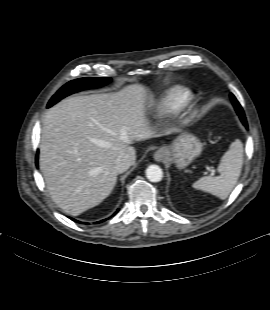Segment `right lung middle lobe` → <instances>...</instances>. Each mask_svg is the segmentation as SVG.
Masks as SVG:
<instances>
[{
    "mask_svg": "<svg viewBox=\"0 0 270 310\" xmlns=\"http://www.w3.org/2000/svg\"><path fill=\"white\" fill-rule=\"evenodd\" d=\"M110 80H111L110 78H92V77L72 80L57 91V93L49 101L48 107H51L65 96H68L80 90L101 87L110 82Z\"/></svg>",
    "mask_w": 270,
    "mask_h": 310,
    "instance_id": "1",
    "label": "right lung middle lobe"
}]
</instances>
